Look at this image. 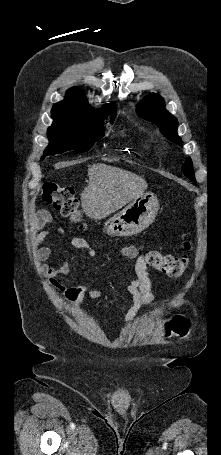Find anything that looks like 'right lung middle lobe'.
Returning a JSON list of instances; mask_svg holds the SVG:
<instances>
[{
	"mask_svg": "<svg viewBox=\"0 0 221 455\" xmlns=\"http://www.w3.org/2000/svg\"><path fill=\"white\" fill-rule=\"evenodd\" d=\"M111 113L113 122L116 109L106 111ZM105 113L86 121H74L62 118H53V124L48 129L50 144L44 152L45 156L74 150L79 153L88 151L93 144L103 136L102 121Z\"/></svg>",
	"mask_w": 221,
	"mask_h": 455,
	"instance_id": "1",
	"label": "right lung middle lobe"
}]
</instances>
